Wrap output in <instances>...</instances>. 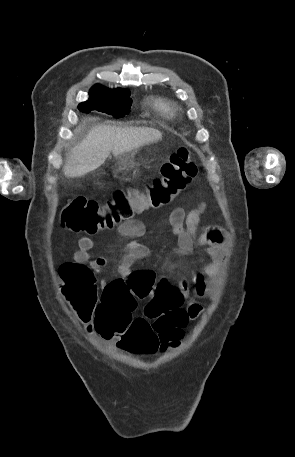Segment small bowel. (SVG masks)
Instances as JSON below:
<instances>
[{
    "mask_svg": "<svg viewBox=\"0 0 295 457\" xmlns=\"http://www.w3.org/2000/svg\"><path fill=\"white\" fill-rule=\"evenodd\" d=\"M206 210L207 205L202 203L189 212L182 208H175L170 213L171 230L178 238L177 252L183 255L191 254L196 246H200L202 253L206 256L205 259H202L200 269L194 272L190 280L183 279L177 284L175 299L181 304L191 292L198 298L206 297L209 294L212 281L219 275L224 260L227 238L225 230L220 226H207L199 230L201 217ZM117 233L123 238L132 239L128 243L129 252L119 266L120 274L126 278L132 273V266L149 255L150 249L146 244L136 240L145 234V226L140 220L131 218L122 222L117 227ZM78 246L79 248L74 254L77 263L88 262L95 271L106 266L107 261L104 257L90 258V251L94 246L92 238L81 237ZM106 285V282L102 283L103 287ZM202 310L203 306L199 302L191 303L186 309L188 323L196 319ZM81 321L88 330L94 328L91 320L81 319Z\"/></svg>",
    "mask_w": 295,
    "mask_h": 457,
    "instance_id": "small-bowel-1",
    "label": "small bowel"
}]
</instances>
